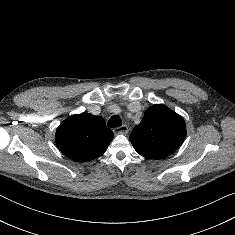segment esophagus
I'll list each match as a JSON object with an SVG mask.
<instances>
[{"instance_id":"34e87169","label":"esophagus","mask_w":235,"mask_h":235,"mask_svg":"<svg viewBox=\"0 0 235 235\" xmlns=\"http://www.w3.org/2000/svg\"><path fill=\"white\" fill-rule=\"evenodd\" d=\"M114 134L115 135H118V134H127L128 133V127L127 125H122L120 127H117L113 130Z\"/></svg>"}]
</instances>
